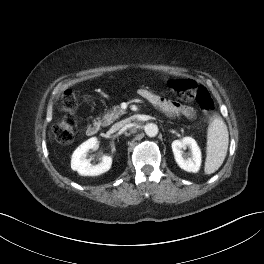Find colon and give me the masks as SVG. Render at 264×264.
I'll return each instance as SVG.
<instances>
[{"label":"colon","instance_id":"colon-1","mask_svg":"<svg viewBox=\"0 0 264 264\" xmlns=\"http://www.w3.org/2000/svg\"><path fill=\"white\" fill-rule=\"evenodd\" d=\"M168 86L180 100L185 102L195 101L205 113L212 116L214 102L205 87L192 80L180 79L170 80ZM62 107L67 116L55 127L54 133L60 142L70 143L74 139L77 130V122L72 116L77 109V103L72 91L67 90L64 92Z\"/></svg>","mask_w":264,"mask_h":264}]
</instances>
